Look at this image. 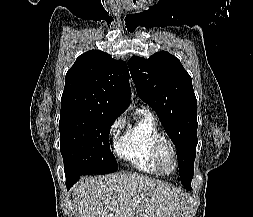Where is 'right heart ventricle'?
I'll return each instance as SVG.
<instances>
[{"mask_svg": "<svg viewBox=\"0 0 253 217\" xmlns=\"http://www.w3.org/2000/svg\"><path fill=\"white\" fill-rule=\"evenodd\" d=\"M137 121L126 127L115 143L119 157L140 171L161 174L152 153L156 140L162 137L153 114L143 108Z\"/></svg>", "mask_w": 253, "mask_h": 217, "instance_id": "e07e8e85", "label": "right heart ventricle"}]
</instances>
